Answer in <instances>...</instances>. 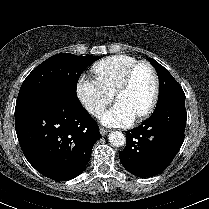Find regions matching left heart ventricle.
<instances>
[{"mask_svg": "<svg viewBox=\"0 0 209 209\" xmlns=\"http://www.w3.org/2000/svg\"><path fill=\"white\" fill-rule=\"evenodd\" d=\"M154 81L147 68L139 69L131 84L117 96V101L123 102L137 116L151 100Z\"/></svg>", "mask_w": 209, "mask_h": 209, "instance_id": "left-heart-ventricle-1", "label": "left heart ventricle"}]
</instances>
